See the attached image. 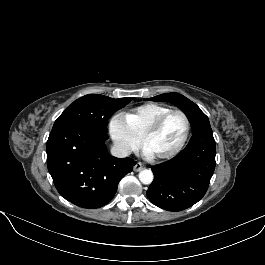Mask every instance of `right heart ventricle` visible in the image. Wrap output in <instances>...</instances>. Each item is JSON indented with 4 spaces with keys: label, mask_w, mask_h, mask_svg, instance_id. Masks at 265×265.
I'll use <instances>...</instances> for the list:
<instances>
[{
    "label": "right heart ventricle",
    "mask_w": 265,
    "mask_h": 265,
    "mask_svg": "<svg viewBox=\"0 0 265 265\" xmlns=\"http://www.w3.org/2000/svg\"><path fill=\"white\" fill-rule=\"evenodd\" d=\"M170 110L169 107L158 103H145L124 113V120L129 128L139 137L150 124L161 114Z\"/></svg>",
    "instance_id": "obj_1"
}]
</instances>
